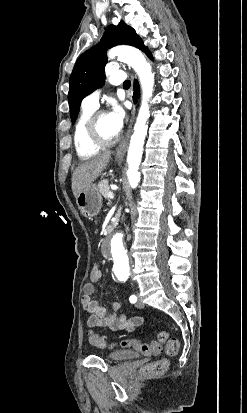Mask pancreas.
Returning <instances> with one entry per match:
<instances>
[{
    "instance_id": "cf45deb5",
    "label": "pancreas",
    "mask_w": 247,
    "mask_h": 413,
    "mask_svg": "<svg viewBox=\"0 0 247 413\" xmlns=\"http://www.w3.org/2000/svg\"><path fill=\"white\" fill-rule=\"evenodd\" d=\"M97 186L99 188V192H101V194H103L104 198H108L107 194H108V192H110L108 178H102V180H100V182H98Z\"/></svg>"
}]
</instances>
